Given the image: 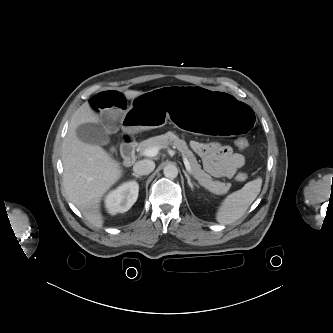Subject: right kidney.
Here are the masks:
<instances>
[{"label":"right kidney","instance_id":"ca27d5eb","mask_svg":"<svg viewBox=\"0 0 333 333\" xmlns=\"http://www.w3.org/2000/svg\"><path fill=\"white\" fill-rule=\"evenodd\" d=\"M139 185L136 181H128L111 191L105 198L107 211L115 215L128 211L138 198Z\"/></svg>","mask_w":333,"mask_h":333}]
</instances>
